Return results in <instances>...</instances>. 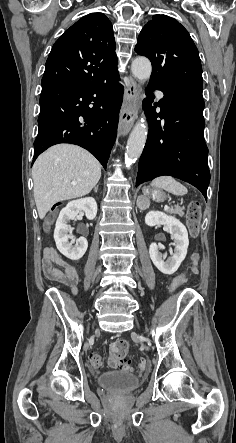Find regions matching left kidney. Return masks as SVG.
Instances as JSON below:
<instances>
[{
  "label": "left kidney",
  "mask_w": 236,
  "mask_h": 443,
  "mask_svg": "<svg viewBox=\"0 0 236 443\" xmlns=\"http://www.w3.org/2000/svg\"><path fill=\"white\" fill-rule=\"evenodd\" d=\"M145 223L150 227L164 225L171 234L175 246L171 257L165 261L166 254L160 252V248L156 243H151L149 254L153 264L159 271L167 275L173 274L187 254L189 239L186 227L175 217L159 211L148 212L145 216Z\"/></svg>",
  "instance_id": "1"
}]
</instances>
